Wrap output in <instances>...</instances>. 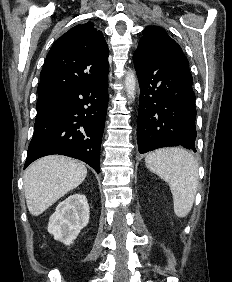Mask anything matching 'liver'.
Here are the masks:
<instances>
[{"mask_svg":"<svg viewBox=\"0 0 232 282\" xmlns=\"http://www.w3.org/2000/svg\"><path fill=\"white\" fill-rule=\"evenodd\" d=\"M87 175L81 162L51 155L33 162L24 174V192L29 212L38 216L58 199L79 186Z\"/></svg>","mask_w":232,"mask_h":282,"instance_id":"1","label":"liver"}]
</instances>
